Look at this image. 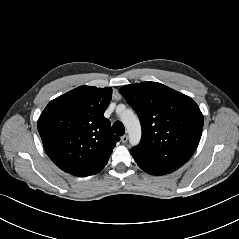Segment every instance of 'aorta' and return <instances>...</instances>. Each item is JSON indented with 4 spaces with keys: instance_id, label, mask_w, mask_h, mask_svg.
Returning <instances> with one entry per match:
<instances>
[{
    "instance_id": "aorta-1",
    "label": "aorta",
    "mask_w": 239,
    "mask_h": 239,
    "mask_svg": "<svg viewBox=\"0 0 239 239\" xmlns=\"http://www.w3.org/2000/svg\"><path fill=\"white\" fill-rule=\"evenodd\" d=\"M120 119L129 134L130 144L137 145L141 139V125L138 117L130 109L120 114Z\"/></svg>"
}]
</instances>
